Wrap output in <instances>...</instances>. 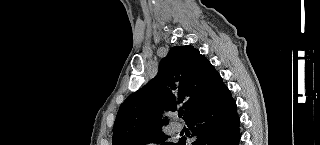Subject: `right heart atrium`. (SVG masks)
I'll return each instance as SVG.
<instances>
[{
  "label": "right heart atrium",
  "instance_id": "1",
  "mask_svg": "<svg viewBox=\"0 0 320 145\" xmlns=\"http://www.w3.org/2000/svg\"><path fill=\"white\" fill-rule=\"evenodd\" d=\"M145 144L146 145H156V141L155 140H148Z\"/></svg>",
  "mask_w": 320,
  "mask_h": 145
}]
</instances>
